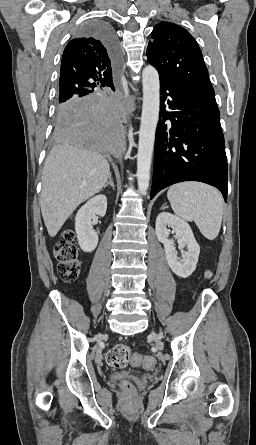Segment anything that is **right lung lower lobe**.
Here are the masks:
<instances>
[{
	"mask_svg": "<svg viewBox=\"0 0 256 445\" xmlns=\"http://www.w3.org/2000/svg\"><path fill=\"white\" fill-rule=\"evenodd\" d=\"M88 33L98 37L107 47L117 64L120 51L114 32L109 25L96 22L86 26ZM77 95L57 106L55 136L96 151L107 158L119 159L124 152L119 119V99L113 93Z\"/></svg>",
	"mask_w": 256,
	"mask_h": 445,
	"instance_id": "obj_1",
	"label": "right lung lower lobe"
}]
</instances>
